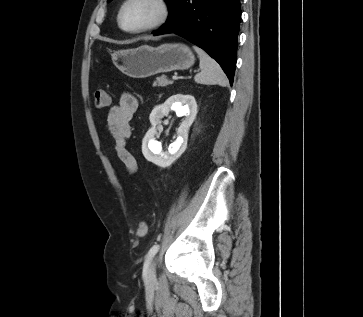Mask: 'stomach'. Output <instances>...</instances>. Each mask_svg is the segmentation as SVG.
Instances as JSON below:
<instances>
[{"mask_svg":"<svg viewBox=\"0 0 363 317\" xmlns=\"http://www.w3.org/2000/svg\"><path fill=\"white\" fill-rule=\"evenodd\" d=\"M114 65L133 78H146L158 73L190 68L195 61L191 49L181 43H166L158 47L141 45L112 54Z\"/></svg>","mask_w":363,"mask_h":317,"instance_id":"1","label":"stomach"}]
</instances>
